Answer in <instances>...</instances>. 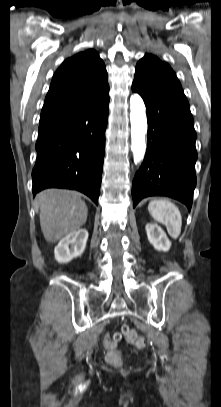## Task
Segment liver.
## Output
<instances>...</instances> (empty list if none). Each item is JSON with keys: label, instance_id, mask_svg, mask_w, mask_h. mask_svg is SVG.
<instances>
[{"label": "liver", "instance_id": "6515ba94", "mask_svg": "<svg viewBox=\"0 0 221 407\" xmlns=\"http://www.w3.org/2000/svg\"><path fill=\"white\" fill-rule=\"evenodd\" d=\"M44 238L55 243L75 232L87 220L88 208L74 191L47 189L36 196Z\"/></svg>", "mask_w": 221, "mask_h": 407}]
</instances>
